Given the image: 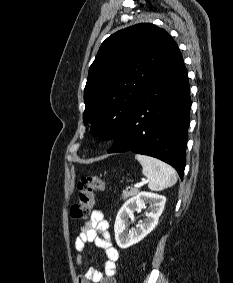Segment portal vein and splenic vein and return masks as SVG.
Returning <instances> with one entry per match:
<instances>
[{"instance_id":"1","label":"portal vein and splenic vein","mask_w":233,"mask_h":283,"mask_svg":"<svg viewBox=\"0 0 233 283\" xmlns=\"http://www.w3.org/2000/svg\"><path fill=\"white\" fill-rule=\"evenodd\" d=\"M148 181L142 180L140 183H137L134 185L135 188H140L141 186L145 185Z\"/></svg>"}]
</instances>
